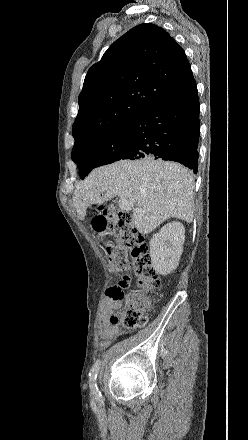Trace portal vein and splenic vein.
I'll return each instance as SVG.
<instances>
[{
    "mask_svg": "<svg viewBox=\"0 0 248 440\" xmlns=\"http://www.w3.org/2000/svg\"><path fill=\"white\" fill-rule=\"evenodd\" d=\"M119 207H120V209L125 210V211H130L132 209L134 211L132 201H129V200H126V199H120L119 200Z\"/></svg>",
    "mask_w": 248,
    "mask_h": 440,
    "instance_id": "obj_1",
    "label": "portal vein and splenic vein"
}]
</instances>
